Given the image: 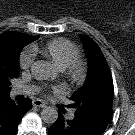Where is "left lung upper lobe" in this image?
<instances>
[{"label": "left lung upper lobe", "instance_id": "1", "mask_svg": "<svg viewBox=\"0 0 135 135\" xmlns=\"http://www.w3.org/2000/svg\"><path fill=\"white\" fill-rule=\"evenodd\" d=\"M88 57L89 72L85 84L71 96L77 114L99 115L108 121L112 117L113 80L98 45L88 36H80Z\"/></svg>", "mask_w": 135, "mask_h": 135}]
</instances>
